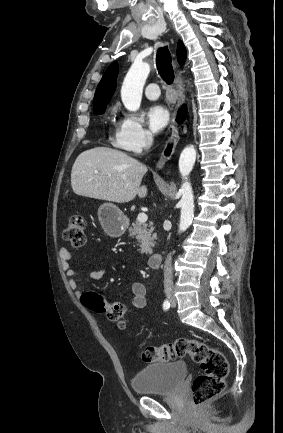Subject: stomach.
Here are the masks:
<instances>
[{"instance_id":"stomach-1","label":"stomach","mask_w":283,"mask_h":433,"mask_svg":"<svg viewBox=\"0 0 283 433\" xmlns=\"http://www.w3.org/2000/svg\"><path fill=\"white\" fill-rule=\"evenodd\" d=\"M99 221L109 237H121L127 229V217L122 210L112 204V202H104L98 208Z\"/></svg>"}]
</instances>
